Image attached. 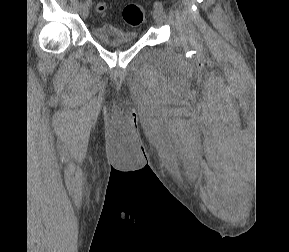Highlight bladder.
<instances>
[{"instance_id":"1","label":"bladder","mask_w":289,"mask_h":252,"mask_svg":"<svg viewBox=\"0 0 289 252\" xmlns=\"http://www.w3.org/2000/svg\"><path fill=\"white\" fill-rule=\"evenodd\" d=\"M92 34L100 42L110 46L134 43L139 38L136 31L123 30L112 25L95 26Z\"/></svg>"}]
</instances>
